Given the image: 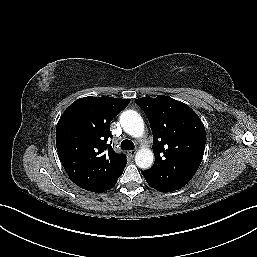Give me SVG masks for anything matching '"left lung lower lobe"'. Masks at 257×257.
Returning <instances> with one entry per match:
<instances>
[{
    "mask_svg": "<svg viewBox=\"0 0 257 257\" xmlns=\"http://www.w3.org/2000/svg\"><path fill=\"white\" fill-rule=\"evenodd\" d=\"M147 183L161 192H171L184 187L193 176L170 168H150L141 171Z\"/></svg>",
    "mask_w": 257,
    "mask_h": 257,
    "instance_id": "0a47b994",
    "label": "left lung lower lobe"
}]
</instances>
